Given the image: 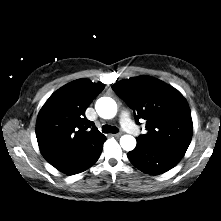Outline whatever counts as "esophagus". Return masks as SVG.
<instances>
[{
  "label": "esophagus",
  "instance_id": "34e87169",
  "mask_svg": "<svg viewBox=\"0 0 221 221\" xmlns=\"http://www.w3.org/2000/svg\"><path fill=\"white\" fill-rule=\"evenodd\" d=\"M122 134H123L122 132H119V133L113 134L112 136L118 138V137H120Z\"/></svg>",
  "mask_w": 221,
  "mask_h": 221
}]
</instances>
